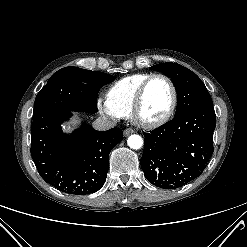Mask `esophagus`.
Returning a JSON list of instances; mask_svg holds the SVG:
<instances>
[{"label":"esophagus","instance_id":"obj_1","mask_svg":"<svg viewBox=\"0 0 247 247\" xmlns=\"http://www.w3.org/2000/svg\"><path fill=\"white\" fill-rule=\"evenodd\" d=\"M124 136H129L130 134L134 133V130L132 128H127L124 130Z\"/></svg>","mask_w":247,"mask_h":247}]
</instances>
